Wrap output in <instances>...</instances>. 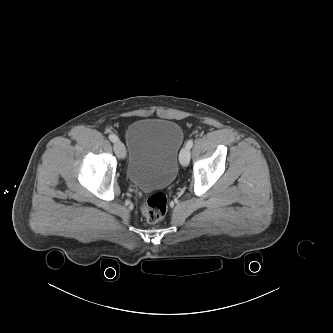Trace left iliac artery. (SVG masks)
I'll return each instance as SVG.
<instances>
[{
    "label": "left iliac artery",
    "mask_w": 333,
    "mask_h": 333,
    "mask_svg": "<svg viewBox=\"0 0 333 333\" xmlns=\"http://www.w3.org/2000/svg\"><path fill=\"white\" fill-rule=\"evenodd\" d=\"M193 143L194 141L192 139L188 140L186 143V147L190 149L193 146Z\"/></svg>",
    "instance_id": "1"
}]
</instances>
